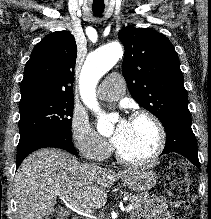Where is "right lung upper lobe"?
<instances>
[{
    "mask_svg": "<svg viewBox=\"0 0 211 219\" xmlns=\"http://www.w3.org/2000/svg\"><path fill=\"white\" fill-rule=\"evenodd\" d=\"M77 46L67 31L44 37L33 49L21 82V100L60 98L73 100L74 66Z\"/></svg>",
    "mask_w": 211,
    "mask_h": 219,
    "instance_id": "right-lung-upper-lobe-1",
    "label": "right lung upper lobe"
}]
</instances>
